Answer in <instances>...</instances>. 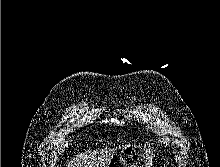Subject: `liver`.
I'll return each mask as SVG.
<instances>
[{
	"instance_id": "obj_1",
	"label": "liver",
	"mask_w": 220,
	"mask_h": 167,
	"mask_svg": "<svg viewBox=\"0 0 220 167\" xmlns=\"http://www.w3.org/2000/svg\"><path fill=\"white\" fill-rule=\"evenodd\" d=\"M116 149H102L80 154L67 164V167H106Z\"/></svg>"
}]
</instances>
